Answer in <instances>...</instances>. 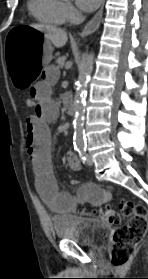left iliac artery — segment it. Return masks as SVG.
I'll list each match as a JSON object with an SVG mask.
<instances>
[{
  "instance_id": "left-iliac-artery-1",
  "label": "left iliac artery",
  "mask_w": 148,
  "mask_h": 279,
  "mask_svg": "<svg viewBox=\"0 0 148 279\" xmlns=\"http://www.w3.org/2000/svg\"><path fill=\"white\" fill-rule=\"evenodd\" d=\"M79 156L83 162L86 160V148H81L79 151Z\"/></svg>"
}]
</instances>
